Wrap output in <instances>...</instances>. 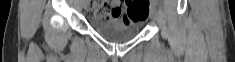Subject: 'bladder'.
<instances>
[{
  "label": "bladder",
  "instance_id": "31cf9c89",
  "mask_svg": "<svg viewBox=\"0 0 235 62\" xmlns=\"http://www.w3.org/2000/svg\"><path fill=\"white\" fill-rule=\"evenodd\" d=\"M94 31L103 39L110 42H126L137 36L139 25H124L122 23L113 26L94 25Z\"/></svg>",
  "mask_w": 235,
  "mask_h": 62
}]
</instances>
